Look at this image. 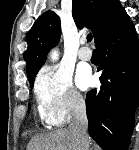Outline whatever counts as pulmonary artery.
Masks as SVG:
<instances>
[{
	"instance_id": "pulmonary-artery-1",
	"label": "pulmonary artery",
	"mask_w": 139,
	"mask_h": 150,
	"mask_svg": "<svg viewBox=\"0 0 139 150\" xmlns=\"http://www.w3.org/2000/svg\"><path fill=\"white\" fill-rule=\"evenodd\" d=\"M82 43H84V41ZM78 57L83 61H88L92 57V51L88 47L83 46L78 52Z\"/></svg>"
}]
</instances>
